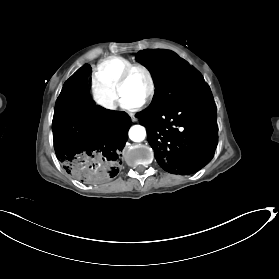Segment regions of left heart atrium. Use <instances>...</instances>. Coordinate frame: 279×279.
<instances>
[{"label": "left heart atrium", "instance_id": "1", "mask_svg": "<svg viewBox=\"0 0 279 279\" xmlns=\"http://www.w3.org/2000/svg\"><path fill=\"white\" fill-rule=\"evenodd\" d=\"M122 105L125 109L127 110H136L139 108V106L141 105V103H131V102H127V101H122Z\"/></svg>", "mask_w": 279, "mask_h": 279}]
</instances>
